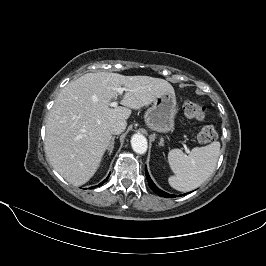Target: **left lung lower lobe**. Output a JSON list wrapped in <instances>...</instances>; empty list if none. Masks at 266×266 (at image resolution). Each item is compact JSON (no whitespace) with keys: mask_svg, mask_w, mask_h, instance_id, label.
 <instances>
[{"mask_svg":"<svg viewBox=\"0 0 266 266\" xmlns=\"http://www.w3.org/2000/svg\"><path fill=\"white\" fill-rule=\"evenodd\" d=\"M145 173H146V178H147V181H148V184H149V187L156 193L158 194L159 196L161 197H166V198H173V197H176V195H172V194H169V193H166L164 191H162L161 189H159L155 184L154 182L151 180L149 174H148V171H147V167L145 166ZM185 194H182L180 196H183Z\"/></svg>","mask_w":266,"mask_h":266,"instance_id":"1","label":"left lung lower lobe"}]
</instances>
